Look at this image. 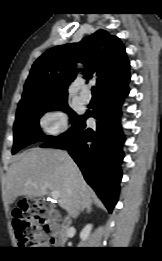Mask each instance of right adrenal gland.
Returning <instances> with one entry per match:
<instances>
[{
    "label": "right adrenal gland",
    "instance_id": "2a0ac1e0",
    "mask_svg": "<svg viewBox=\"0 0 162 261\" xmlns=\"http://www.w3.org/2000/svg\"><path fill=\"white\" fill-rule=\"evenodd\" d=\"M91 211H92V208H91V207L86 208V212H87V213H91ZM79 213H80V212H79ZM79 213H78L76 216H78Z\"/></svg>",
    "mask_w": 162,
    "mask_h": 261
}]
</instances>
